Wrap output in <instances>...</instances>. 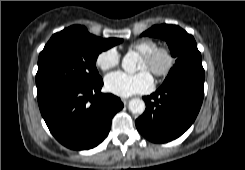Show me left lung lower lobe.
I'll list each match as a JSON object with an SVG mask.
<instances>
[{
	"label": "left lung lower lobe",
	"instance_id": "left-lung-lower-lobe-1",
	"mask_svg": "<svg viewBox=\"0 0 245 170\" xmlns=\"http://www.w3.org/2000/svg\"><path fill=\"white\" fill-rule=\"evenodd\" d=\"M204 96V81L180 79L143 97L146 109L136 120L148 140L164 143L180 137L195 121Z\"/></svg>",
	"mask_w": 245,
	"mask_h": 170
}]
</instances>
